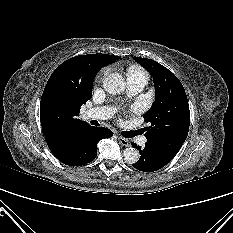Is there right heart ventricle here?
<instances>
[{"instance_id":"e07e8e85","label":"right heart ventricle","mask_w":233,"mask_h":233,"mask_svg":"<svg viewBox=\"0 0 233 233\" xmlns=\"http://www.w3.org/2000/svg\"><path fill=\"white\" fill-rule=\"evenodd\" d=\"M128 77H143L147 80V73L138 66H131L128 68Z\"/></svg>"}]
</instances>
